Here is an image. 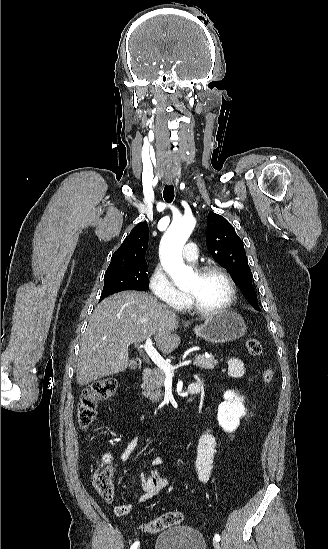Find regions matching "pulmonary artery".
Returning <instances> with one entry per match:
<instances>
[{
  "label": "pulmonary artery",
  "mask_w": 328,
  "mask_h": 549,
  "mask_svg": "<svg viewBox=\"0 0 328 549\" xmlns=\"http://www.w3.org/2000/svg\"><path fill=\"white\" fill-rule=\"evenodd\" d=\"M186 248L187 250L183 252V257L185 260L189 262L195 261L200 255V248L193 241L188 242V246Z\"/></svg>",
  "instance_id": "1"
}]
</instances>
